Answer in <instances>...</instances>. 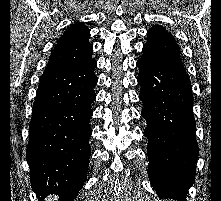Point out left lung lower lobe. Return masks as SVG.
Listing matches in <instances>:
<instances>
[{
    "label": "left lung lower lobe",
    "instance_id": "obj_1",
    "mask_svg": "<svg viewBox=\"0 0 221 201\" xmlns=\"http://www.w3.org/2000/svg\"><path fill=\"white\" fill-rule=\"evenodd\" d=\"M137 67L141 115L147 122L149 180L159 196L186 201L198 158L191 82L185 71L145 57Z\"/></svg>",
    "mask_w": 221,
    "mask_h": 201
}]
</instances>
